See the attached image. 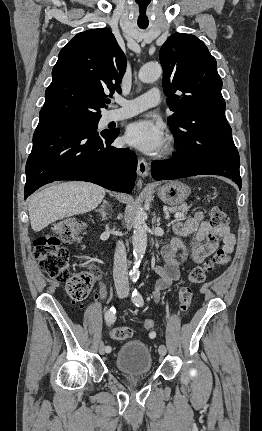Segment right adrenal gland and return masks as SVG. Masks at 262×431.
Returning <instances> with one entry per match:
<instances>
[{"mask_svg": "<svg viewBox=\"0 0 262 431\" xmlns=\"http://www.w3.org/2000/svg\"><path fill=\"white\" fill-rule=\"evenodd\" d=\"M106 207L110 210V205L108 204V202L106 200H103L101 208L96 210V212H99L101 214L102 220L108 219L107 212L105 210Z\"/></svg>", "mask_w": 262, "mask_h": 431, "instance_id": "1", "label": "right adrenal gland"}]
</instances>
